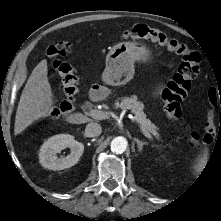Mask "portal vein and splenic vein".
Segmentation results:
<instances>
[{
    "label": "portal vein and splenic vein",
    "instance_id": "18ae733b",
    "mask_svg": "<svg viewBox=\"0 0 221 221\" xmlns=\"http://www.w3.org/2000/svg\"><path fill=\"white\" fill-rule=\"evenodd\" d=\"M88 115L97 120H103L108 117L107 113L101 110H97V109H90L88 112ZM140 130L144 134L145 137L152 140L151 134L147 132L142 126H140Z\"/></svg>",
    "mask_w": 221,
    "mask_h": 221
}]
</instances>
